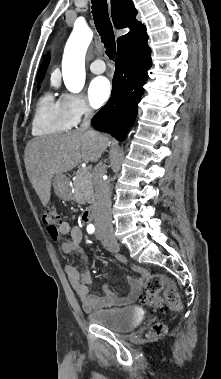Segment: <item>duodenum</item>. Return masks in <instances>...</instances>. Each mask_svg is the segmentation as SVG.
Returning a JSON list of instances; mask_svg holds the SVG:
<instances>
[{
  "mask_svg": "<svg viewBox=\"0 0 221 379\" xmlns=\"http://www.w3.org/2000/svg\"><path fill=\"white\" fill-rule=\"evenodd\" d=\"M98 208L96 204L90 205L84 212L83 220L86 223L93 222L97 217Z\"/></svg>",
  "mask_w": 221,
  "mask_h": 379,
  "instance_id": "410a0bca",
  "label": "duodenum"
}]
</instances>
